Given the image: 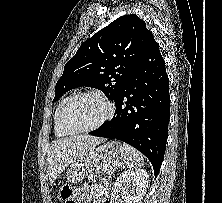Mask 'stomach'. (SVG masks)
Returning a JSON list of instances; mask_svg holds the SVG:
<instances>
[{"mask_svg": "<svg viewBox=\"0 0 222 203\" xmlns=\"http://www.w3.org/2000/svg\"><path fill=\"white\" fill-rule=\"evenodd\" d=\"M125 148L118 141H109L87 150L83 156L73 161L67 172V182L78 183L83 180L101 161L118 160L125 157Z\"/></svg>", "mask_w": 222, "mask_h": 203, "instance_id": "0dacf381", "label": "stomach"}]
</instances>
